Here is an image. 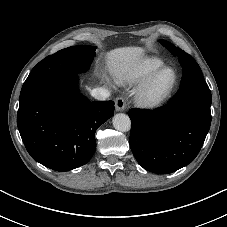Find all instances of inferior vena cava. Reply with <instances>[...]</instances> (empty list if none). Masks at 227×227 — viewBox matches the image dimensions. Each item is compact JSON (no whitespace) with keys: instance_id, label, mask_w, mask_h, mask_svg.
<instances>
[{"instance_id":"obj_1","label":"inferior vena cava","mask_w":227,"mask_h":227,"mask_svg":"<svg viewBox=\"0 0 227 227\" xmlns=\"http://www.w3.org/2000/svg\"><path fill=\"white\" fill-rule=\"evenodd\" d=\"M91 96L97 100L103 101L106 100L110 96V92L105 88H95L91 91Z\"/></svg>"}]
</instances>
